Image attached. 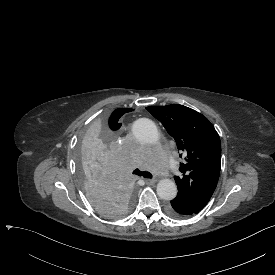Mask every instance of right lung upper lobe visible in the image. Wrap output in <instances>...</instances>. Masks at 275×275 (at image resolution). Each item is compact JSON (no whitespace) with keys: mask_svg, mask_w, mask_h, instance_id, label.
Returning a JSON list of instances; mask_svg holds the SVG:
<instances>
[{"mask_svg":"<svg viewBox=\"0 0 275 275\" xmlns=\"http://www.w3.org/2000/svg\"><path fill=\"white\" fill-rule=\"evenodd\" d=\"M133 109H128V108H120L115 110L111 117L109 118V126L111 128V130H118L121 127V123L118 122V120L120 119V117L127 113L132 111Z\"/></svg>","mask_w":275,"mask_h":275,"instance_id":"cb5924a9","label":"right lung upper lobe"}]
</instances>
